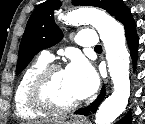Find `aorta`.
Here are the masks:
<instances>
[{"instance_id":"1","label":"aorta","mask_w":145,"mask_h":124,"mask_svg":"<svg viewBox=\"0 0 145 124\" xmlns=\"http://www.w3.org/2000/svg\"><path fill=\"white\" fill-rule=\"evenodd\" d=\"M66 21L70 25L91 24L103 41L113 93L99 107L95 124H112L125 111L130 96V60L125 45L124 27L98 9L74 10L67 14Z\"/></svg>"}]
</instances>
